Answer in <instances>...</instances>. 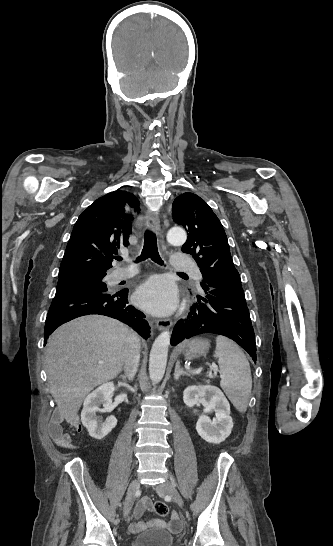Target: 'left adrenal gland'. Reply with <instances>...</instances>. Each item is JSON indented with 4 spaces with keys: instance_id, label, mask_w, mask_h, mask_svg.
I'll return each instance as SVG.
<instances>
[{
    "instance_id": "obj_1",
    "label": "left adrenal gland",
    "mask_w": 333,
    "mask_h": 546,
    "mask_svg": "<svg viewBox=\"0 0 333 546\" xmlns=\"http://www.w3.org/2000/svg\"><path fill=\"white\" fill-rule=\"evenodd\" d=\"M182 375L190 376V374H188L182 368H180V362L177 361L176 366H175V372H174L175 380H178L180 378V376H182Z\"/></svg>"
}]
</instances>
